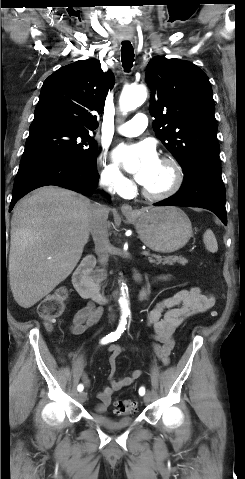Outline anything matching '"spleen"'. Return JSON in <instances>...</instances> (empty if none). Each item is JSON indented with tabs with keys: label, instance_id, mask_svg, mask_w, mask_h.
I'll return each mask as SVG.
<instances>
[{
	"label": "spleen",
	"instance_id": "spleen-1",
	"mask_svg": "<svg viewBox=\"0 0 245 479\" xmlns=\"http://www.w3.org/2000/svg\"><path fill=\"white\" fill-rule=\"evenodd\" d=\"M203 242L209 252L215 253L218 250L217 240L212 230L207 229L203 235Z\"/></svg>",
	"mask_w": 245,
	"mask_h": 479
}]
</instances>
